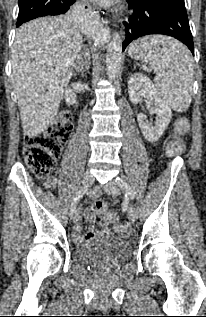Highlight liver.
<instances>
[{
    "label": "liver",
    "instance_id": "obj_1",
    "mask_svg": "<svg viewBox=\"0 0 206 317\" xmlns=\"http://www.w3.org/2000/svg\"><path fill=\"white\" fill-rule=\"evenodd\" d=\"M81 44L68 16L35 19L17 31L12 81L27 136H37L54 121Z\"/></svg>",
    "mask_w": 206,
    "mask_h": 317
}]
</instances>
